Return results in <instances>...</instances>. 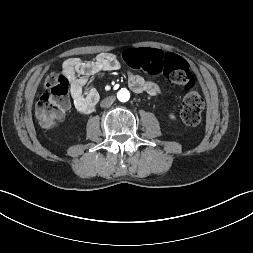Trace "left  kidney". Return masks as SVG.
I'll list each match as a JSON object with an SVG mask.
<instances>
[{"mask_svg": "<svg viewBox=\"0 0 253 253\" xmlns=\"http://www.w3.org/2000/svg\"><path fill=\"white\" fill-rule=\"evenodd\" d=\"M170 118H171V119H176V117H175L174 114H170Z\"/></svg>", "mask_w": 253, "mask_h": 253, "instance_id": "left-kidney-1", "label": "left kidney"}]
</instances>
